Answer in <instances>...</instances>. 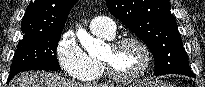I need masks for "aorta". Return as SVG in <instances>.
<instances>
[{"instance_id": "762f6f07", "label": "aorta", "mask_w": 205, "mask_h": 87, "mask_svg": "<svg viewBox=\"0 0 205 87\" xmlns=\"http://www.w3.org/2000/svg\"><path fill=\"white\" fill-rule=\"evenodd\" d=\"M77 37L82 47L88 52H95L101 49L104 45V42L101 39L94 38L82 28L78 29Z\"/></svg>"}]
</instances>
